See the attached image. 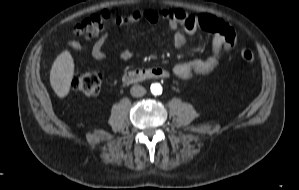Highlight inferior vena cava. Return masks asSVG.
Segmentation results:
<instances>
[{"label": "inferior vena cava", "instance_id": "1", "mask_svg": "<svg viewBox=\"0 0 299 190\" xmlns=\"http://www.w3.org/2000/svg\"><path fill=\"white\" fill-rule=\"evenodd\" d=\"M130 93L133 97H141L146 94V90L143 86L134 85L133 87H131Z\"/></svg>", "mask_w": 299, "mask_h": 190}]
</instances>
